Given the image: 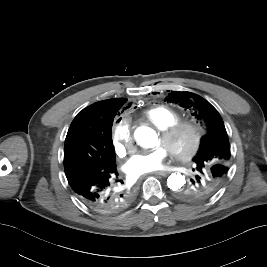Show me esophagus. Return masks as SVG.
Returning <instances> with one entry per match:
<instances>
[{"instance_id": "esophagus-1", "label": "esophagus", "mask_w": 267, "mask_h": 267, "mask_svg": "<svg viewBox=\"0 0 267 267\" xmlns=\"http://www.w3.org/2000/svg\"><path fill=\"white\" fill-rule=\"evenodd\" d=\"M152 174L160 175V176L165 177V176H167L169 174V172L168 171H155Z\"/></svg>"}]
</instances>
